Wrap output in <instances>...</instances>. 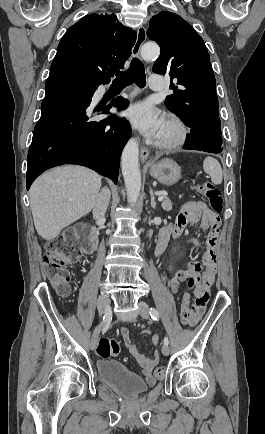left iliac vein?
<instances>
[{"instance_id": "1", "label": "left iliac vein", "mask_w": 265, "mask_h": 434, "mask_svg": "<svg viewBox=\"0 0 265 434\" xmlns=\"http://www.w3.org/2000/svg\"><path fill=\"white\" fill-rule=\"evenodd\" d=\"M139 314L144 318V319H148L149 318V313H148V304L144 301H140L139 302ZM162 353L164 355H168L170 353V349L168 347V345H163L162 346Z\"/></svg>"}]
</instances>
